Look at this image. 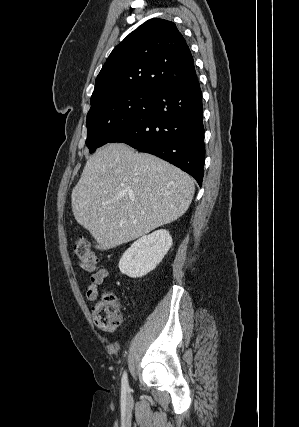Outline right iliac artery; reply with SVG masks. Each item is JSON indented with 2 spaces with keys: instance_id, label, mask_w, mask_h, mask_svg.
<instances>
[{
  "instance_id": "right-iliac-artery-1",
  "label": "right iliac artery",
  "mask_w": 299,
  "mask_h": 427,
  "mask_svg": "<svg viewBox=\"0 0 299 427\" xmlns=\"http://www.w3.org/2000/svg\"><path fill=\"white\" fill-rule=\"evenodd\" d=\"M128 388H129V386H128L127 373L124 372L123 377H122V390L127 391Z\"/></svg>"
}]
</instances>
